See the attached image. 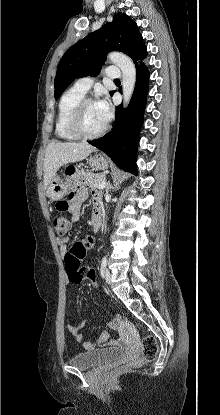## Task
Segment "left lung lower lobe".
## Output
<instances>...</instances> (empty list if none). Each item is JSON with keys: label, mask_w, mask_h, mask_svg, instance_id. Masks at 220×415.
<instances>
[{"label": "left lung lower lobe", "mask_w": 220, "mask_h": 415, "mask_svg": "<svg viewBox=\"0 0 220 415\" xmlns=\"http://www.w3.org/2000/svg\"><path fill=\"white\" fill-rule=\"evenodd\" d=\"M136 85L127 109L116 108L115 125L102 138L89 142L105 152L118 166L137 175V148L148 93L149 72L141 61L135 63ZM121 92V91H120ZM114 91L110 94L113 95Z\"/></svg>", "instance_id": "left-lung-lower-lobe-1"}]
</instances>
